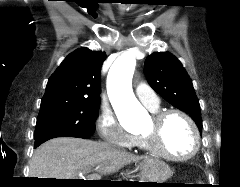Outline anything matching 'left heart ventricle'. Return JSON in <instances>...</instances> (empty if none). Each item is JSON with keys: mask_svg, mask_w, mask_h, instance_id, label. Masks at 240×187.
Segmentation results:
<instances>
[{"mask_svg": "<svg viewBox=\"0 0 240 187\" xmlns=\"http://www.w3.org/2000/svg\"><path fill=\"white\" fill-rule=\"evenodd\" d=\"M140 134L154 135L158 148L173 155L187 154L194 144L190 128L178 115L168 116L160 125L151 118L142 126Z\"/></svg>", "mask_w": 240, "mask_h": 187, "instance_id": "b2bd125f", "label": "left heart ventricle"}]
</instances>
